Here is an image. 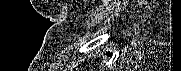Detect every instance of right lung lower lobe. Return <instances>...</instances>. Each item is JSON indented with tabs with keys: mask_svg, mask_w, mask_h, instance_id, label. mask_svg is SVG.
Wrapping results in <instances>:
<instances>
[{
	"mask_svg": "<svg viewBox=\"0 0 181 71\" xmlns=\"http://www.w3.org/2000/svg\"><path fill=\"white\" fill-rule=\"evenodd\" d=\"M109 56H111L112 54L111 53H108Z\"/></svg>",
	"mask_w": 181,
	"mask_h": 71,
	"instance_id": "right-lung-lower-lobe-1",
	"label": "right lung lower lobe"
}]
</instances>
